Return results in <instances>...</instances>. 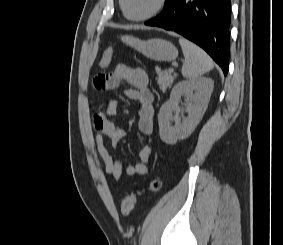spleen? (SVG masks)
<instances>
[{
    "label": "spleen",
    "mask_w": 283,
    "mask_h": 245,
    "mask_svg": "<svg viewBox=\"0 0 283 245\" xmlns=\"http://www.w3.org/2000/svg\"><path fill=\"white\" fill-rule=\"evenodd\" d=\"M179 43L185 57L182 66L183 77L190 80L198 79L213 69V61L203 49L182 37L179 39Z\"/></svg>",
    "instance_id": "1"
}]
</instances>
